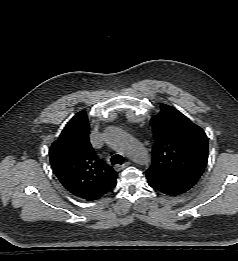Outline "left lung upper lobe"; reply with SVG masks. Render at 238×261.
Instances as JSON below:
<instances>
[{
    "instance_id": "left-lung-upper-lobe-1",
    "label": "left lung upper lobe",
    "mask_w": 238,
    "mask_h": 261,
    "mask_svg": "<svg viewBox=\"0 0 238 261\" xmlns=\"http://www.w3.org/2000/svg\"><path fill=\"white\" fill-rule=\"evenodd\" d=\"M152 120L155 144L148 181L175 195L196 184L208 160V141L202 128L175 108L161 104Z\"/></svg>"
}]
</instances>
